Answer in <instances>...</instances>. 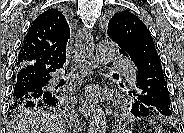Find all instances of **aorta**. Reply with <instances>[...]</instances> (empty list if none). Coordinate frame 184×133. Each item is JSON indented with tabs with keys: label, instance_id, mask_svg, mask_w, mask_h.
I'll return each mask as SVG.
<instances>
[{
	"label": "aorta",
	"instance_id": "762f6f07",
	"mask_svg": "<svg viewBox=\"0 0 184 133\" xmlns=\"http://www.w3.org/2000/svg\"><path fill=\"white\" fill-rule=\"evenodd\" d=\"M115 46L108 41H101L96 46V59L102 66H107L115 56ZM107 120L103 107L98 106L90 119L88 133H106Z\"/></svg>",
	"mask_w": 184,
	"mask_h": 133
}]
</instances>
